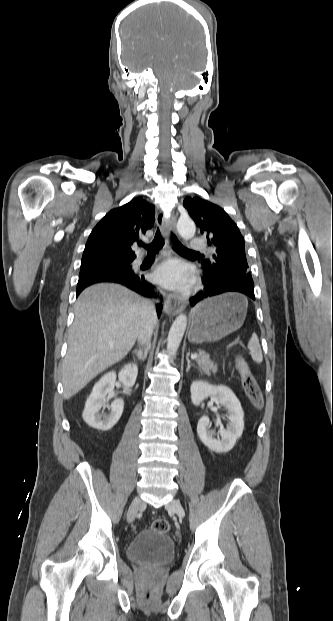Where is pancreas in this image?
Masks as SVG:
<instances>
[{
	"label": "pancreas",
	"instance_id": "pancreas-1",
	"mask_svg": "<svg viewBox=\"0 0 333 621\" xmlns=\"http://www.w3.org/2000/svg\"><path fill=\"white\" fill-rule=\"evenodd\" d=\"M199 357L196 359L199 369L205 374H210V371L213 373L217 372V365L210 360L209 355L206 354L203 350H198Z\"/></svg>",
	"mask_w": 333,
	"mask_h": 621
}]
</instances>
